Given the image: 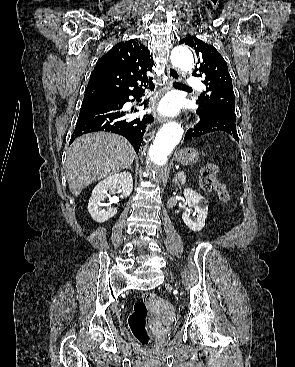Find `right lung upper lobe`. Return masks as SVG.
<instances>
[{
	"instance_id": "cb5924a9",
	"label": "right lung upper lobe",
	"mask_w": 295,
	"mask_h": 367,
	"mask_svg": "<svg viewBox=\"0 0 295 367\" xmlns=\"http://www.w3.org/2000/svg\"><path fill=\"white\" fill-rule=\"evenodd\" d=\"M153 66L145 46L130 40L120 42L97 62L86 89H101L117 96L144 91Z\"/></svg>"
}]
</instances>
